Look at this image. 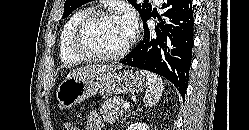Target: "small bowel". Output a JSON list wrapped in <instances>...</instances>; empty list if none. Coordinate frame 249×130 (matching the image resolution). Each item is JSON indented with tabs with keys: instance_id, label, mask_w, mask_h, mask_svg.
<instances>
[{
	"instance_id": "small-bowel-1",
	"label": "small bowel",
	"mask_w": 249,
	"mask_h": 130,
	"mask_svg": "<svg viewBox=\"0 0 249 130\" xmlns=\"http://www.w3.org/2000/svg\"><path fill=\"white\" fill-rule=\"evenodd\" d=\"M87 130H103V122L97 112L92 111L88 114L86 120Z\"/></svg>"
}]
</instances>
